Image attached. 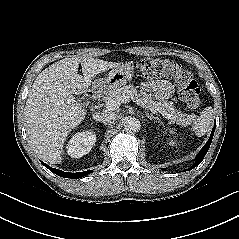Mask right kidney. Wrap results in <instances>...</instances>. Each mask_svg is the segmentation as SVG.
I'll return each instance as SVG.
<instances>
[{
    "label": "right kidney",
    "mask_w": 239,
    "mask_h": 239,
    "mask_svg": "<svg viewBox=\"0 0 239 239\" xmlns=\"http://www.w3.org/2000/svg\"><path fill=\"white\" fill-rule=\"evenodd\" d=\"M95 142L96 135L93 132H78L69 140L67 153L72 158H80L90 152Z\"/></svg>",
    "instance_id": "1"
}]
</instances>
